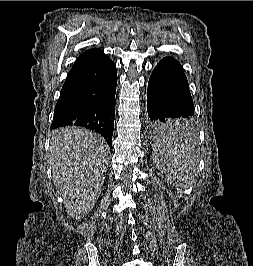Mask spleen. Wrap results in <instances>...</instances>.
I'll return each mask as SVG.
<instances>
[{
    "label": "spleen",
    "mask_w": 253,
    "mask_h": 266,
    "mask_svg": "<svg viewBox=\"0 0 253 266\" xmlns=\"http://www.w3.org/2000/svg\"><path fill=\"white\" fill-rule=\"evenodd\" d=\"M155 129V139L162 140L152 142V156L170 182L182 187L185 179L192 180L195 171L194 165H187L192 157V147L185 140L189 123H156Z\"/></svg>",
    "instance_id": "obj_1"
}]
</instances>
